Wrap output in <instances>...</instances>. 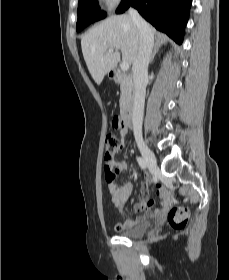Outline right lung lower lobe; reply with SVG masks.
I'll use <instances>...</instances> for the list:
<instances>
[{
    "instance_id": "98d812e1",
    "label": "right lung lower lobe",
    "mask_w": 229,
    "mask_h": 280,
    "mask_svg": "<svg viewBox=\"0 0 229 280\" xmlns=\"http://www.w3.org/2000/svg\"><path fill=\"white\" fill-rule=\"evenodd\" d=\"M192 0H123L116 13L133 6L156 29L181 43Z\"/></svg>"
}]
</instances>
